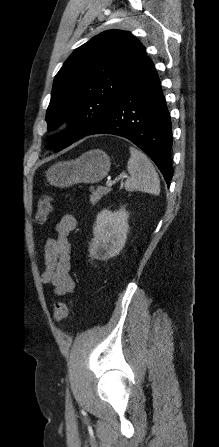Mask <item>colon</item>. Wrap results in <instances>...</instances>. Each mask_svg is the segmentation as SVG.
<instances>
[{
	"label": "colon",
	"instance_id": "colon-1",
	"mask_svg": "<svg viewBox=\"0 0 219 447\" xmlns=\"http://www.w3.org/2000/svg\"><path fill=\"white\" fill-rule=\"evenodd\" d=\"M52 208V196L49 194L43 195L37 202L36 219L43 223L50 215ZM69 306L65 302L58 301L54 304L52 310V318L54 321L60 323L64 321L69 315Z\"/></svg>",
	"mask_w": 219,
	"mask_h": 447
}]
</instances>
